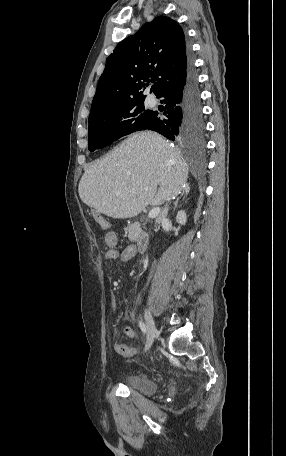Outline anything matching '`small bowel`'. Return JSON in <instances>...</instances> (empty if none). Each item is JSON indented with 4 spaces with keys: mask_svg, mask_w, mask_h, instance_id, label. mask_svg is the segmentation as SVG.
Returning a JSON list of instances; mask_svg holds the SVG:
<instances>
[{
    "mask_svg": "<svg viewBox=\"0 0 286 456\" xmlns=\"http://www.w3.org/2000/svg\"><path fill=\"white\" fill-rule=\"evenodd\" d=\"M105 243L109 249L105 253V259L107 261H117L120 263L127 262L133 259L137 255L136 247L133 245L126 246L122 250L116 248L117 245V236L114 232H108L105 236ZM111 304L113 310H116V299L115 296L111 295ZM130 317V314L128 315ZM124 334L129 338H134L135 332L132 328H124ZM137 350L136 346H131L127 344H116L115 351L117 354L123 357H130Z\"/></svg>",
    "mask_w": 286,
    "mask_h": 456,
    "instance_id": "small-bowel-1",
    "label": "small bowel"
}]
</instances>
